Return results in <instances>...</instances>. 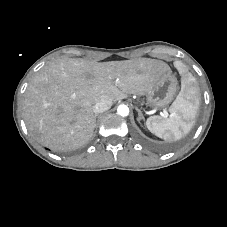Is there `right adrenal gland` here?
<instances>
[{
  "instance_id": "2a0ac1e0",
  "label": "right adrenal gland",
  "mask_w": 227,
  "mask_h": 227,
  "mask_svg": "<svg viewBox=\"0 0 227 227\" xmlns=\"http://www.w3.org/2000/svg\"><path fill=\"white\" fill-rule=\"evenodd\" d=\"M97 116H98V114L95 115V121H96V117H97ZM95 126H96V124H95Z\"/></svg>"
}]
</instances>
